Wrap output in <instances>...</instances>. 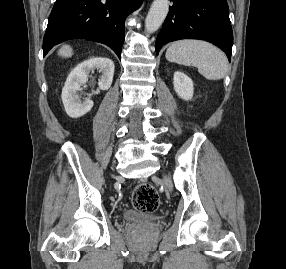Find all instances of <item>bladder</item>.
I'll return each mask as SVG.
<instances>
[{
	"instance_id": "obj_1",
	"label": "bladder",
	"mask_w": 286,
	"mask_h": 269,
	"mask_svg": "<svg viewBox=\"0 0 286 269\" xmlns=\"http://www.w3.org/2000/svg\"><path fill=\"white\" fill-rule=\"evenodd\" d=\"M122 218L125 222L148 223L157 220L158 216L151 213L141 212L133 208H127L123 212Z\"/></svg>"
}]
</instances>
